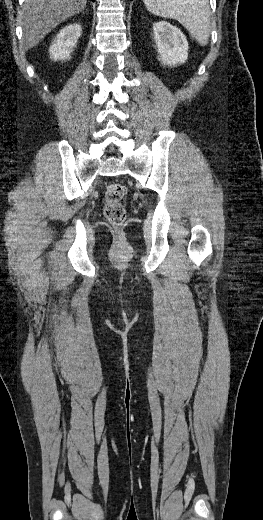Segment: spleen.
<instances>
[{"label": "spleen", "instance_id": "1", "mask_svg": "<svg viewBox=\"0 0 263 520\" xmlns=\"http://www.w3.org/2000/svg\"><path fill=\"white\" fill-rule=\"evenodd\" d=\"M154 15L180 22L198 42L208 44L210 35V6L208 0H143Z\"/></svg>", "mask_w": 263, "mask_h": 520}]
</instances>
